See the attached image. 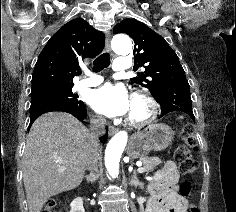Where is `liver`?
I'll return each instance as SVG.
<instances>
[{"instance_id": "obj_1", "label": "liver", "mask_w": 236, "mask_h": 212, "mask_svg": "<svg viewBox=\"0 0 236 212\" xmlns=\"http://www.w3.org/2000/svg\"><path fill=\"white\" fill-rule=\"evenodd\" d=\"M94 148L92 133L73 115L40 116L31 127L23 157L29 212H40L50 197L78 187ZM61 167L66 169L59 171Z\"/></svg>"}]
</instances>
